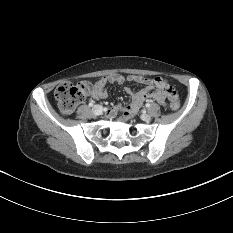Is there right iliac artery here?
I'll use <instances>...</instances> for the list:
<instances>
[{"instance_id": "obj_1", "label": "right iliac artery", "mask_w": 233, "mask_h": 233, "mask_svg": "<svg viewBox=\"0 0 233 233\" xmlns=\"http://www.w3.org/2000/svg\"><path fill=\"white\" fill-rule=\"evenodd\" d=\"M93 105H94V102L91 101V102L89 103V106L92 107Z\"/></svg>"}]
</instances>
